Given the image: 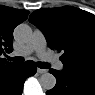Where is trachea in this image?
I'll list each match as a JSON object with an SVG mask.
<instances>
[{"label":"trachea","mask_w":95,"mask_h":95,"mask_svg":"<svg viewBox=\"0 0 95 95\" xmlns=\"http://www.w3.org/2000/svg\"><path fill=\"white\" fill-rule=\"evenodd\" d=\"M8 60L13 61V62H17V63H21L24 61V59L22 57H8ZM37 66L41 69L49 68V64L46 62H38Z\"/></svg>","instance_id":"trachea-1"}]
</instances>
